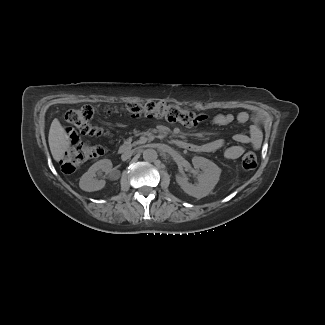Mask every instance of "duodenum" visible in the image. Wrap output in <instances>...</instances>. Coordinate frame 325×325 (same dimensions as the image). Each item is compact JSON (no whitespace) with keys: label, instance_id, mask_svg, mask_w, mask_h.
<instances>
[{"label":"duodenum","instance_id":"duodenum-1","mask_svg":"<svg viewBox=\"0 0 325 325\" xmlns=\"http://www.w3.org/2000/svg\"><path fill=\"white\" fill-rule=\"evenodd\" d=\"M172 144L179 149H188L192 145L186 141L175 139L172 141ZM131 151V144L124 143L119 147L120 154H128Z\"/></svg>","mask_w":325,"mask_h":325}]
</instances>
